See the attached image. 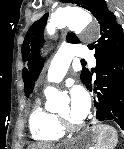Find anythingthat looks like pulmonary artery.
I'll return each mask as SVG.
<instances>
[{"label": "pulmonary artery", "instance_id": "pulmonary-artery-1", "mask_svg": "<svg viewBox=\"0 0 124 149\" xmlns=\"http://www.w3.org/2000/svg\"><path fill=\"white\" fill-rule=\"evenodd\" d=\"M85 59L95 67V59L91 55L88 47L83 44L70 43L61 47L48 67L46 73V85L59 83L67 74L70 63L73 59Z\"/></svg>", "mask_w": 124, "mask_h": 149}]
</instances>
